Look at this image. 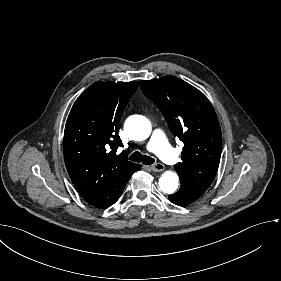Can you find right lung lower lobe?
<instances>
[{
    "label": "right lung lower lobe",
    "mask_w": 281,
    "mask_h": 281,
    "mask_svg": "<svg viewBox=\"0 0 281 281\" xmlns=\"http://www.w3.org/2000/svg\"><path fill=\"white\" fill-rule=\"evenodd\" d=\"M141 166L138 165L133 171L127 175L117 179L105 188L84 197L85 200L92 206L97 208H107L114 204L121 196L123 189L129 181L132 174L140 170Z\"/></svg>",
    "instance_id": "right-lung-lower-lobe-1"
}]
</instances>
